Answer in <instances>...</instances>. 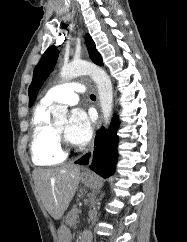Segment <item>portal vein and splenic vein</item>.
<instances>
[{
	"label": "portal vein and splenic vein",
	"mask_w": 187,
	"mask_h": 242,
	"mask_svg": "<svg viewBox=\"0 0 187 242\" xmlns=\"http://www.w3.org/2000/svg\"><path fill=\"white\" fill-rule=\"evenodd\" d=\"M78 212L81 213V209H79Z\"/></svg>",
	"instance_id": "18ae733b"
}]
</instances>
